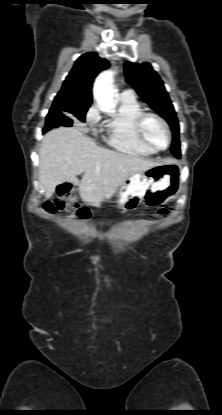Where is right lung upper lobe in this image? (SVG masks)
I'll return each instance as SVG.
<instances>
[{
    "label": "right lung upper lobe",
    "mask_w": 222,
    "mask_h": 415,
    "mask_svg": "<svg viewBox=\"0 0 222 415\" xmlns=\"http://www.w3.org/2000/svg\"><path fill=\"white\" fill-rule=\"evenodd\" d=\"M109 65L106 59L100 58L93 52L80 56L66 77L51 108L81 104L91 105L93 81L97 74L107 69Z\"/></svg>",
    "instance_id": "cb5924a9"
}]
</instances>
